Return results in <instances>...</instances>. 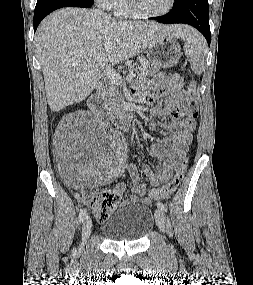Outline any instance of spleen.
Listing matches in <instances>:
<instances>
[{"label":"spleen","instance_id":"spleen-1","mask_svg":"<svg viewBox=\"0 0 253 285\" xmlns=\"http://www.w3.org/2000/svg\"><path fill=\"white\" fill-rule=\"evenodd\" d=\"M186 41L184 51L190 61L192 71L201 75L204 70V56L202 51L206 49L204 38L194 29L189 30L183 37Z\"/></svg>","mask_w":253,"mask_h":285}]
</instances>
